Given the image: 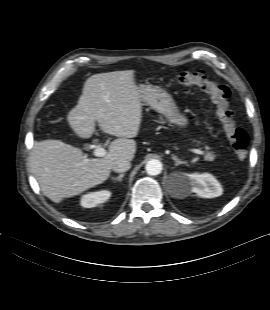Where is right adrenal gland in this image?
I'll return each instance as SVG.
<instances>
[{
  "mask_svg": "<svg viewBox=\"0 0 270 310\" xmlns=\"http://www.w3.org/2000/svg\"><path fill=\"white\" fill-rule=\"evenodd\" d=\"M124 173L120 174L119 176L117 177H112L111 179L114 180V181H119L121 182L122 181V178L124 177Z\"/></svg>",
  "mask_w": 270,
  "mask_h": 310,
  "instance_id": "right-adrenal-gland-1",
  "label": "right adrenal gland"
}]
</instances>
